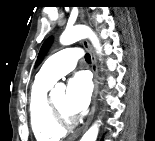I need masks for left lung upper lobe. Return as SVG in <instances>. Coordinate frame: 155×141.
<instances>
[{"label": "left lung upper lobe", "mask_w": 155, "mask_h": 141, "mask_svg": "<svg viewBox=\"0 0 155 141\" xmlns=\"http://www.w3.org/2000/svg\"><path fill=\"white\" fill-rule=\"evenodd\" d=\"M51 42H52V38L50 37L42 45L39 55H38V58H37V61H36V65H38L41 62L43 56L46 54L49 46L51 45Z\"/></svg>", "instance_id": "left-lung-upper-lobe-1"}]
</instances>
